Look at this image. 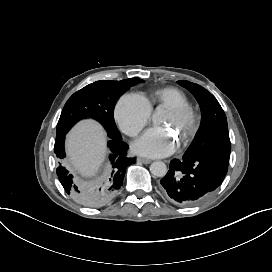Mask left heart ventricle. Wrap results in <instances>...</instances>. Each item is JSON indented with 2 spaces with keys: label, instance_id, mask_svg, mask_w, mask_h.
Returning a JSON list of instances; mask_svg holds the SVG:
<instances>
[{
  "label": "left heart ventricle",
  "instance_id": "left-heart-ventricle-1",
  "mask_svg": "<svg viewBox=\"0 0 272 272\" xmlns=\"http://www.w3.org/2000/svg\"><path fill=\"white\" fill-rule=\"evenodd\" d=\"M163 123L170 124L172 126L180 128L178 117L170 110H168Z\"/></svg>",
  "mask_w": 272,
  "mask_h": 272
}]
</instances>
